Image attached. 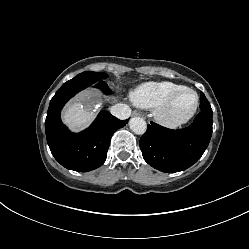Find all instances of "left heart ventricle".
<instances>
[{
	"instance_id": "left-heart-ventricle-1",
	"label": "left heart ventricle",
	"mask_w": 249,
	"mask_h": 249,
	"mask_svg": "<svg viewBox=\"0 0 249 249\" xmlns=\"http://www.w3.org/2000/svg\"><path fill=\"white\" fill-rule=\"evenodd\" d=\"M194 96L191 92H182L175 99L171 113L173 115H181L187 112L193 105Z\"/></svg>"
}]
</instances>
